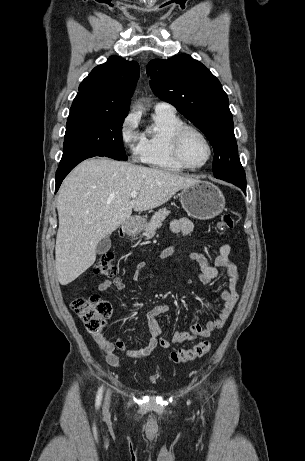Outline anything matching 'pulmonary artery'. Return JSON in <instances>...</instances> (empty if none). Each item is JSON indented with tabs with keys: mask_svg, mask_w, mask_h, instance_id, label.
<instances>
[{
	"mask_svg": "<svg viewBox=\"0 0 305 461\" xmlns=\"http://www.w3.org/2000/svg\"><path fill=\"white\" fill-rule=\"evenodd\" d=\"M155 111L175 112V109L171 104L164 101H159L155 104Z\"/></svg>",
	"mask_w": 305,
	"mask_h": 461,
	"instance_id": "obj_1",
	"label": "pulmonary artery"
}]
</instances>
